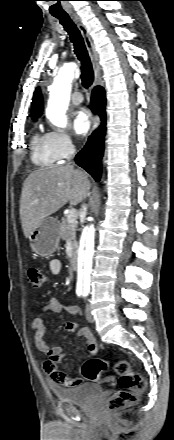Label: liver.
Wrapping results in <instances>:
<instances>
[{
    "label": "liver",
    "mask_w": 174,
    "mask_h": 440,
    "mask_svg": "<svg viewBox=\"0 0 174 440\" xmlns=\"http://www.w3.org/2000/svg\"><path fill=\"white\" fill-rule=\"evenodd\" d=\"M91 188L88 175L72 165L41 168L25 180L20 199V219L24 236L29 238L41 221L68 201L81 203Z\"/></svg>",
    "instance_id": "6515ba94"
}]
</instances>
